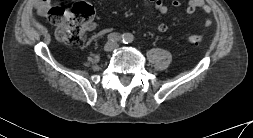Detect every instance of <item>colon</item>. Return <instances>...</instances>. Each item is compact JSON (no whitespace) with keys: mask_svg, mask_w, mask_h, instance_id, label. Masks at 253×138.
<instances>
[{"mask_svg":"<svg viewBox=\"0 0 253 138\" xmlns=\"http://www.w3.org/2000/svg\"><path fill=\"white\" fill-rule=\"evenodd\" d=\"M48 15L56 25L57 38L65 44L72 45L90 26L94 9L86 2H77L69 8L52 7ZM204 39L203 35H190L187 38L188 42L193 45L201 44Z\"/></svg>","mask_w":253,"mask_h":138,"instance_id":"5ec220e1","label":"colon"}]
</instances>
